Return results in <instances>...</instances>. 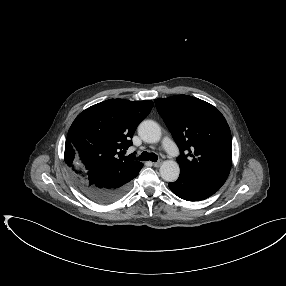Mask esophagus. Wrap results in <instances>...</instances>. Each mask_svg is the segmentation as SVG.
Returning <instances> with one entry per match:
<instances>
[{"instance_id": "1", "label": "esophagus", "mask_w": 286, "mask_h": 286, "mask_svg": "<svg viewBox=\"0 0 286 286\" xmlns=\"http://www.w3.org/2000/svg\"><path fill=\"white\" fill-rule=\"evenodd\" d=\"M161 164H162V161H157L153 163L154 167H159Z\"/></svg>"}]
</instances>
